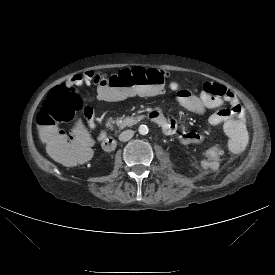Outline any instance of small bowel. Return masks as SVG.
<instances>
[{"label":"small bowel","instance_id":"c3829d8e","mask_svg":"<svg viewBox=\"0 0 275 275\" xmlns=\"http://www.w3.org/2000/svg\"><path fill=\"white\" fill-rule=\"evenodd\" d=\"M94 74L87 72L72 76L65 84L87 86L93 79ZM170 90L177 93L178 102L189 112L196 115H205L209 110H213L207 120L211 126L222 125L228 136L229 150L234 153H240L247 145L248 132L243 109L233 92L224 86L206 81L202 83L201 93L196 94V87L193 84H186L183 89L178 81L169 83ZM99 89V88H98ZM153 96V95H150ZM149 97V96H144ZM223 104H228V108H220ZM154 122L161 126L166 135H173L177 131V122L174 117L166 116L163 113L155 112ZM87 126L91 129L97 127L92 113L86 115ZM78 134L83 135V130L75 128ZM104 132H101L96 139L101 141L104 138ZM181 140L185 143L198 144L202 137L198 131L183 133ZM224 147L217 142L208 144L202 151L199 161L200 167L209 173H218L223 166L222 157L224 156Z\"/></svg>","mask_w":275,"mask_h":275}]
</instances>
